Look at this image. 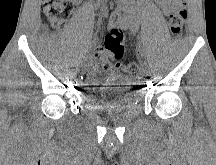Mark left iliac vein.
Listing matches in <instances>:
<instances>
[{"mask_svg":"<svg viewBox=\"0 0 216 165\" xmlns=\"http://www.w3.org/2000/svg\"><path fill=\"white\" fill-rule=\"evenodd\" d=\"M141 65H142V69H143V71L146 72L147 69H148V65H147V63H146L145 61H142Z\"/></svg>","mask_w":216,"mask_h":165,"instance_id":"left-iliac-vein-1","label":"left iliac vein"}]
</instances>
